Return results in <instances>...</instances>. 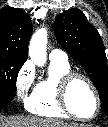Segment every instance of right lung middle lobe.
Here are the masks:
<instances>
[{"mask_svg":"<svg viewBox=\"0 0 108 127\" xmlns=\"http://www.w3.org/2000/svg\"><path fill=\"white\" fill-rule=\"evenodd\" d=\"M26 60L0 54V96L13 98L16 91V78Z\"/></svg>","mask_w":108,"mask_h":127,"instance_id":"obj_1","label":"right lung middle lobe"}]
</instances>
